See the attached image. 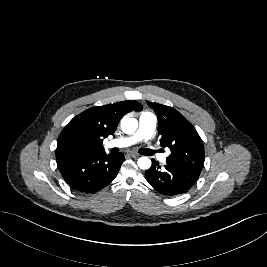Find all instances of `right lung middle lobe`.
Here are the masks:
<instances>
[{"label": "right lung middle lobe", "instance_id": "1", "mask_svg": "<svg viewBox=\"0 0 267 267\" xmlns=\"http://www.w3.org/2000/svg\"><path fill=\"white\" fill-rule=\"evenodd\" d=\"M83 150L84 148L80 142L69 141L62 146L61 153L63 155H76L82 154Z\"/></svg>", "mask_w": 267, "mask_h": 267}]
</instances>
